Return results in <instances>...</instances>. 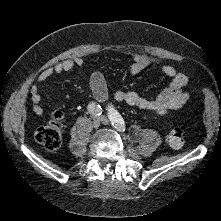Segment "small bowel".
Here are the masks:
<instances>
[{
  "label": "small bowel",
  "instance_id": "obj_1",
  "mask_svg": "<svg viewBox=\"0 0 221 221\" xmlns=\"http://www.w3.org/2000/svg\"><path fill=\"white\" fill-rule=\"evenodd\" d=\"M152 63V60L144 54L135 53L132 56V63L129 66L131 74H137ZM84 60L81 57L66 59L50 68L44 70L31 87V98L34 111L38 116H43L40 91L43 84L52 76L71 71L76 66H82ZM164 75L171 79L169 87L164 89L155 98L149 99L134 91L118 90L114 93L117 102H125L130 106L137 107L143 111L157 115H165L182 107L189 99V93L185 91L188 83L186 74L178 71L174 66L166 64L162 66ZM90 87L93 96L99 103L108 100V89L104 75L100 71H94L90 75Z\"/></svg>",
  "mask_w": 221,
  "mask_h": 221
}]
</instances>
